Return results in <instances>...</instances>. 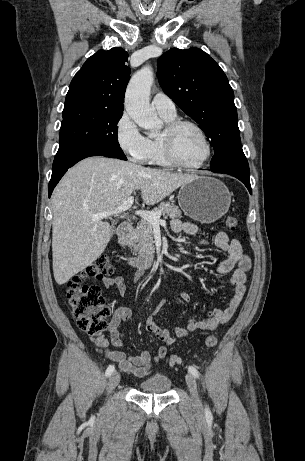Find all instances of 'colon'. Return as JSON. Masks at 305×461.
Masks as SVG:
<instances>
[{
	"label": "colon",
	"instance_id": "obj_1",
	"mask_svg": "<svg viewBox=\"0 0 305 461\" xmlns=\"http://www.w3.org/2000/svg\"><path fill=\"white\" fill-rule=\"evenodd\" d=\"M227 227L234 231L238 227V220L229 216L226 219ZM113 266L108 255L99 256L91 265L80 273L73 275L66 282V296L73 316L79 327L91 335L101 334L108 327L110 308L106 305L101 290L96 285L86 284L89 279H103L110 277ZM217 336L209 335L205 345L209 348L217 344ZM182 359L178 355H171L169 366L181 364Z\"/></svg>",
	"mask_w": 305,
	"mask_h": 461
}]
</instances>
